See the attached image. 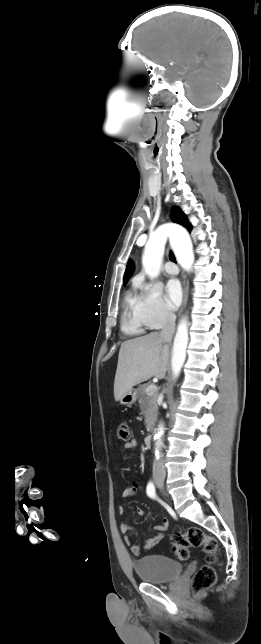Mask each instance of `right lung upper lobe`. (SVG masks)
<instances>
[{
    "label": "right lung upper lobe",
    "mask_w": 261,
    "mask_h": 644,
    "mask_svg": "<svg viewBox=\"0 0 261 644\" xmlns=\"http://www.w3.org/2000/svg\"><path fill=\"white\" fill-rule=\"evenodd\" d=\"M171 220L173 222H175V223H178V224L184 226L185 228L188 229L189 232L192 230V227H191L190 223L188 222L187 217L185 216V214L181 211V209L179 207H173L171 209ZM132 272H133V265L129 261L128 264H127L126 270H125V274H124V283H126V281L129 279V277L131 276Z\"/></svg>",
    "instance_id": "1"
}]
</instances>
